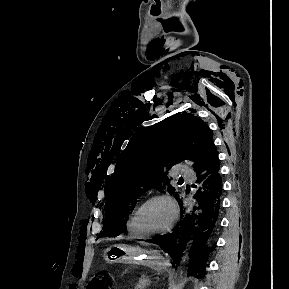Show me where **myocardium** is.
<instances>
[{
  "instance_id": "f54148a6",
  "label": "myocardium",
  "mask_w": 289,
  "mask_h": 289,
  "mask_svg": "<svg viewBox=\"0 0 289 289\" xmlns=\"http://www.w3.org/2000/svg\"><path fill=\"white\" fill-rule=\"evenodd\" d=\"M154 200H165L167 201L171 208H172V212H173V216H172V220L170 222V224L159 231H154V232H146L144 230H142L139 226V215L141 213V211L143 210V208L149 204L150 202L154 201ZM178 216H179V210H178V206L175 202V200L168 194H164V193H156L153 195H150L149 197H147L134 211L133 214V224L134 227L136 228V230L143 236V237H153V236H162L165 235L167 233H169L175 226L177 220H178Z\"/></svg>"
}]
</instances>
